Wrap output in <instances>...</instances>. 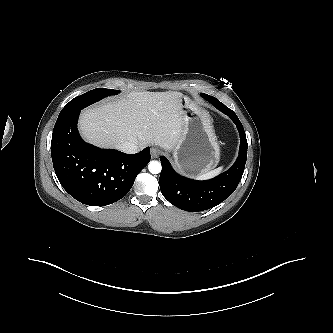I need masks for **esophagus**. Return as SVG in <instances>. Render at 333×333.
I'll list each match as a JSON object with an SVG mask.
<instances>
[{"mask_svg":"<svg viewBox=\"0 0 333 333\" xmlns=\"http://www.w3.org/2000/svg\"><path fill=\"white\" fill-rule=\"evenodd\" d=\"M161 154L158 148L152 147L151 148V156L152 158H157Z\"/></svg>","mask_w":333,"mask_h":333,"instance_id":"esophagus-1","label":"esophagus"}]
</instances>
